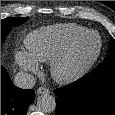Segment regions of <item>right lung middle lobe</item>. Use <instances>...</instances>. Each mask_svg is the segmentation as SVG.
Segmentation results:
<instances>
[{"label": "right lung middle lobe", "instance_id": "obj_1", "mask_svg": "<svg viewBox=\"0 0 115 115\" xmlns=\"http://www.w3.org/2000/svg\"><path fill=\"white\" fill-rule=\"evenodd\" d=\"M27 19L28 17H22V18L8 17L5 19H1V40L6 36V34L12 27L18 26L26 22Z\"/></svg>", "mask_w": 115, "mask_h": 115}]
</instances>
